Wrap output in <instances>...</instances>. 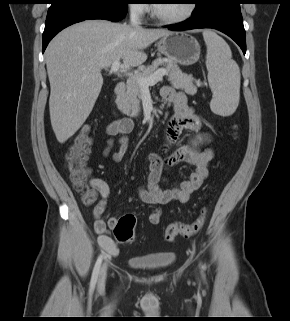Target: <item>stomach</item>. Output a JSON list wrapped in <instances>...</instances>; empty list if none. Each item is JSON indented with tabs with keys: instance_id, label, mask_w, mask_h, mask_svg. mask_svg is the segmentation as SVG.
<instances>
[{
	"instance_id": "0dacf381",
	"label": "stomach",
	"mask_w": 290,
	"mask_h": 321,
	"mask_svg": "<svg viewBox=\"0 0 290 321\" xmlns=\"http://www.w3.org/2000/svg\"><path fill=\"white\" fill-rule=\"evenodd\" d=\"M160 53L183 66L193 65L199 60L200 45L187 32H170L157 42Z\"/></svg>"
}]
</instances>
